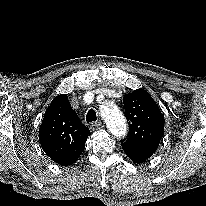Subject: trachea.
<instances>
[{"label":"trachea","mask_w":206,"mask_h":206,"mask_svg":"<svg viewBox=\"0 0 206 206\" xmlns=\"http://www.w3.org/2000/svg\"><path fill=\"white\" fill-rule=\"evenodd\" d=\"M97 120V115H96V111L93 110V109H90L88 112H87V115H86V121L87 123H90V122H94Z\"/></svg>","instance_id":"3493384b"}]
</instances>
